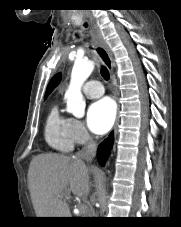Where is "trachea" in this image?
Wrapping results in <instances>:
<instances>
[{
    "label": "trachea",
    "mask_w": 181,
    "mask_h": 227,
    "mask_svg": "<svg viewBox=\"0 0 181 227\" xmlns=\"http://www.w3.org/2000/svg\"><path fill=\"white\" fill-rule=\"evenodd\" d=\"M101 75L105 80H108L110 77L108 69L104 66H102V68H101Z\"/></svg>",
    "instance_id": "1"
}]
</instances>
